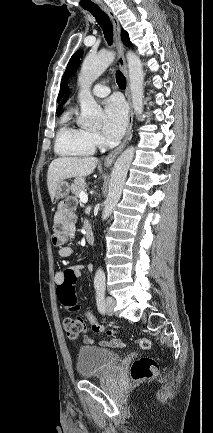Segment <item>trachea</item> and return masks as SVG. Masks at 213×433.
Here are the masks:
<instances>
[{
  "mask_svg": "<svg viewBox=\"0 0 213 433\" xmlns=\"http://www.w3.org/2000/svg\"><path fill=\"white\" fill-rule=\"evenodd\" d=\"M85 9L88 10L95 17L96 21L98 22V24L101 26L103 30L104 37L107 43L111 45L113 42V26L107 14H105L97 6L89 7ZM116 82L120 88L124 89L126 87V78L121 71L116 72Z\"/></svg>",
  "mask_w": 213,
  "mask_h": 433,
  "instance_id": "3493384b",
  "label": "trachea"
}]
</instances>
